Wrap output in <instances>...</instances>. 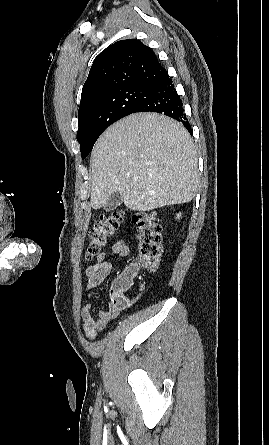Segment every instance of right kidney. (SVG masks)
Wrapping results in <instances>:
<instances>
[{"mask_svg": "<svg viewBox=\"0 0 269 445\" xmlns=\"http://www.w3.org/2000/svg\"><path fill=\"white\" fill-rule=\"evenodd\" d=\"M180 216H181V214L179 213V214L177 215V218L179 219V218H180Z\"/></svg>", "mask_w": 269, "mask_h": 445, "instance_id": "right-kidney-1", "label": "right kidney"}]
</instances>
